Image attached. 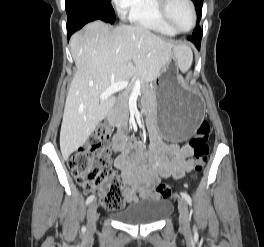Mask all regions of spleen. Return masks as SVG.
Instances as JSON below:
<instances>
[{"instance_id":"obj_1","label":"spleen","mask_w":264,"mask_h":247,"mask_svg":"<svg viewBox=\"0 0 264 247\" xmlns=\"http://www.w3.org/2000/svg\"><path fill=\"white\" fill-rule=\"evenodd\" d=\"M175 56L180 70L183 73L188 71L193 62L192 50L186 45L179 46L175 49Z\"/></svg>"}]
</instances>
